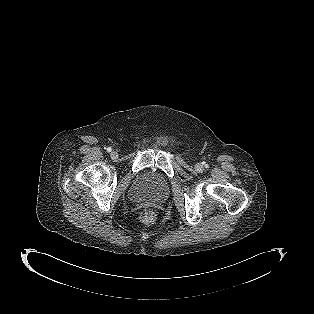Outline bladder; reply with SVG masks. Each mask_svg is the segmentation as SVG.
<instances>
[{"mask_svg":"<svg viewBox=\"0 0 314 314\" xmlns=\"http://www.w3.org/2000/svg\"><path fill=\"white\" fill-rule=\"evenodd\" d=\"M168 194V181L162 174L152 170L141 174L129 191L133 200H148L155 203L164 201Z\"/></svg>","mask_w":314,"mask_h":314,"instance_id":"1","label":"bladder"}]
</instances>
